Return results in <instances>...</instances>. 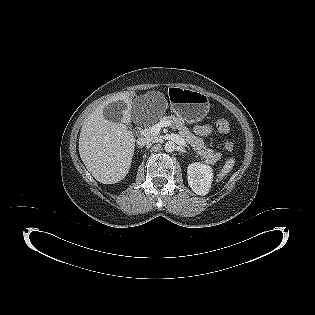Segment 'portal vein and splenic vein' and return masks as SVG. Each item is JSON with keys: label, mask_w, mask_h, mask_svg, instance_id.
I'll list each match as a JSON object with an SVG mask.
<instances>
[{"label": "portal vein and splenic vein", "mask_w": 315, "mask_h": 315, "mask_svg": "<svg viewBox=\"0 0 315 315\" xmlns=\"http://www.w3.org/2000/svg\"><path fill=\"white\" fill-rule=\"evenodd\" d=\"M170 125H171V123H170L169 121H160V122H158L157 124L153 125V126L150 128V130H149V131H150V134H151L152 136H156V135L159 134L161 128H163V127H168V126H170ZM144 135H148V130H146V131L144 132Z\"/></svg>", "instance_id": "obj_1"}]
</instances>
